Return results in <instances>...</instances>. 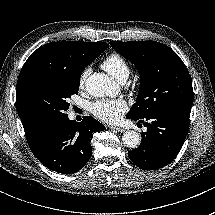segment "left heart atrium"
<instances>
[{
    "instance_id": "39dd6f15",
    "label": "left heart atrium",
    "mask_w": 215,
    "mask_h": 215,
    "mask_svg": "<svg viewBox=\"0 0 215 215\" xmlns=\"http://www.w3.org/2000/svg\"><path fill=\"white\" fill-rule=\"evenodd\" d=\"M128 109V104L124 99H102L92 104L91 112L104 122L115 123Z\"/></svg>"
}]
</instances>
